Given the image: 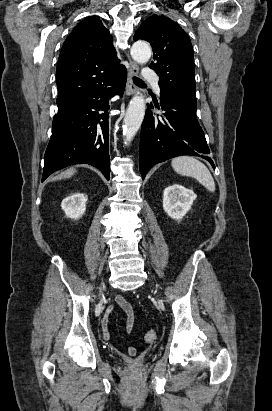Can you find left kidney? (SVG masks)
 <instances>
[{"instance_id": "1", "label": "left kidney", "mask_w": 272, "mask_h": 411, "mask_svg": "<svg viewBox=\"0 0 272 411\" xmlns=\"http://www.w3.org/2000/svg\"><path fill=\"white\" fill-rule=\"evenodd\" d=\"M196 194L184 186L173 184L163 192V209L172 219L181 220L191 209Z\"/></svg>"}]
</instances>
